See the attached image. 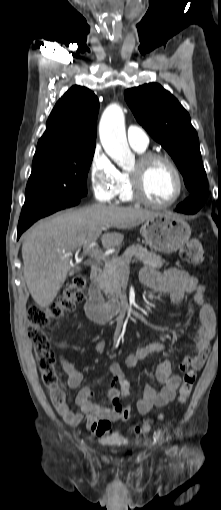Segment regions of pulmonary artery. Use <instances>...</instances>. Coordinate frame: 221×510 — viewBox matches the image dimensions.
I'll list each match as a JSON object with an SVG mask.
<instances>
[{"instance_id":"1","label":"pulmonary artery","mask_w":221,"mask_h":510,"mask_svg":"<svg viewBox=\"0 0 221 510\" xmlns=\"http://www.w3.org/2000/svg\"><path fill=\"white\" fill-rule=\"evenodd\" d=\"M127 139L133 148L146 149L149 144L148 134L141 127L136 125L128 127Z\"/></svg>"}]
</instances>
